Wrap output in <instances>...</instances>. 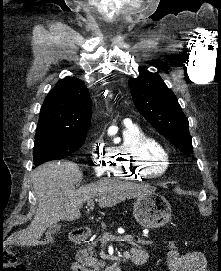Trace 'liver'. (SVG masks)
<instances>
[{
  "mask_svg": "<svg viewBox=\"0 0 221 271\" xmlns=\"http://www.w3.org/2000/svg\"><path fill=\"white\" fill-rule=\"evenodd\" d=\"M82 179V171L77 163L67 159L47 161L35 167L32 173L33 189L37 197L36 213L28 227L15 231L9 237L11 245H44L39 241L43 231L55 225L61 219L74 221L81 217L80 207L91 197H99L100 207H112L125 197H138L130 181L102 177L93 183L76 189V183Z\"/></svg>",
  "mask_w": 221,
  "mask_h": 271,
  "instance_id": "obj_1",
  "label": "liver"
}]
</instances>
